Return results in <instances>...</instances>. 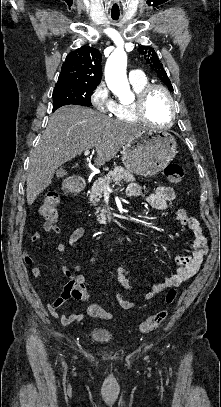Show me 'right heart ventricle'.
Instances as JSON below:
<instances>
[{"instance_id": "e07e8e85", "label": "right heart ventricle", "mask_w": 221, "mask_h": 407, "mask_svg": "<svg viewBox=\"0 0 221 407\" xmlns=\"http://www.w3.org/2000/svg\"><path fill=\"white\" fill-rule=\"evenodd\" d=\"M130 84L135 92L138 95L145 87L149 85V82L146 77L138 81H130ZM134 101L131 102H116L115 108L112 112L113 116L117 120L125 122H137L138 118L134 110Z\"/></svg>"}]
</instances>
